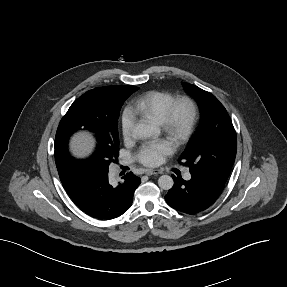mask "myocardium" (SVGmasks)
I'll return each instance as SVG.
<instances>
[{
    "label": "myocardium",
    "instance_id": "1",
    "mask_svg": "<svg viewBox=\"0 0 287 287\" xmlns=\"http://www.w3.org/2000/svg\"><path fill=\"white\" fill-rule=\"evenodd\" d=\"M185 111V117H179V111ZM200 118L198 103L189 96L175 99L167 109L164 120L160 123L162 131L175 142L183 145L191 137Z\"/></svg>",
    "mask_w": 287,
    "mask_h": 287
}]
</instances>
